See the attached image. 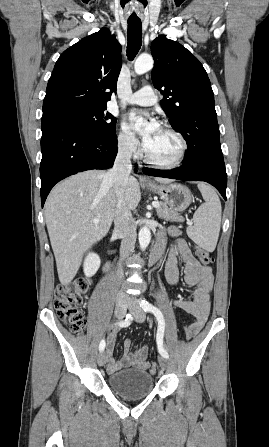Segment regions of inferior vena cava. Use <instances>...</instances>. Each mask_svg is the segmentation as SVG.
Listing matches in <instances>:
<instances>
[{
  "instance_id": "inferior-vena-cava-1",
  "label": "inferior vena cava",
  "mask_w": 269,
  "mask_h": 447,
  "mask_svg": "<svg viewBox=\"0 0 269 447\" xmlns=\"http://www.w3.org/2000/svg\"><path fill=\"white\" fill-rule=\"evenodd\" d=\"M131 156L132 152L130 144H128V146L118 144V154L116 156L114 166L105 176V180L112 182L113 190L115 192V233H118V235H121L122 237L120 245V261H123L124 257H127L130 251L134 249V243L137 235L136 224L124 200L129 174L132 170ZM117 273L119 277H123L124 275L121 263H119ZM120 293H124V291H120Z\"/></svg>"
}]
</instances>
